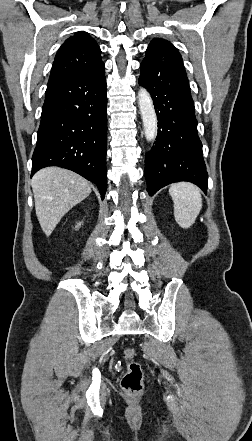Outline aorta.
<instances>
[{
    "label": "aorta",
    "mask_w": 252,
    "mask_h": 441,
    "mask_svg": "<svg viewBox=\"0 0 252 441\" xmlns=\"http://www.w3.org/2000/svg\"><path fill=\"white\" fill-rule=\"evenodd\" d=\"M138 104L144 126L145 138L148 142L157 136V117L150 94L145 88L138 91Z\"/></svg>",
    "instance_id": "1"
}]
</instances>
